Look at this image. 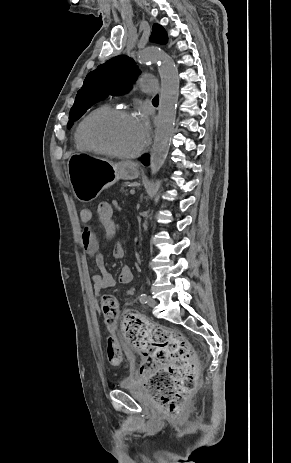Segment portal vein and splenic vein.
<instances>
[{
	"mask_svg": "<svg viewBox=\"0 0 291 463\" xmlns=\"http://www.w3.org/2000/svg\"><path fill=\"white\" fill-rule=\"evenodd\" d=\"M130 194H135V190H134V189H130Z\"/></svg>",
	"mask_w": 291,
	"mask_h": 463,
	"instance_id": "portal-vein-and-splenic-vein-1",
	"label": "portal vein and splenic vein"
}]
</instances>
